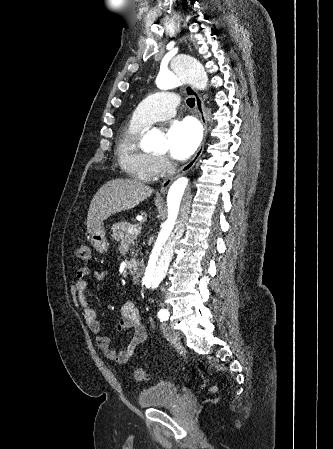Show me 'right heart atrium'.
Wrapping results in <instances>:
<instances>
[{
	"label": "right heart atrium",
	"mask_w": 333,
	"mask_h": 449,
	"mask_svg": "<svg viewBox=\"0 0 333 449\" xmlns=\"http://www.w3.org/2000/svg\"><path fill=\"white\" fill-rule=\"evenodd\" d=\"M154 166L157 175L165 174L171 167L170 161L163 155L154 157Z\"/></svg>",
	"instance_id": "obj_1"
}]
</instances>
